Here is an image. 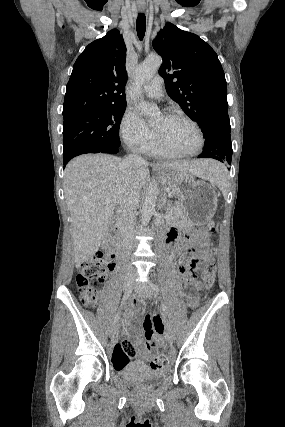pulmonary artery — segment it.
I'll return each instance as SVG.
<instances>
[{"label":"pulmonary artery","mask_w":285,"mask_h":427,"mask_svg":"<svg viewBox=\"0 0 285 427\" xmlns=\"http://www.w3.org/2000/svg\"><path fill=\"white\" fill-rule=\"evenodd\" d=\"M144 93L152 99H158L163 96L162 78L155 76L144 85Z\"/></svg>","instance_id":"1"}]
</instances>
